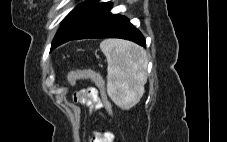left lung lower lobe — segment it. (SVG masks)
<instances>
[{
    "mask_svg": "<svg viewBox=\"0 0 227 142\" xmlns=\"http://www.w3.org/2000/svg\"><path fill=\"white\" fill-rule=\"evenodd\" d=\"M111 8L112 3H109L95 18L69 40L86 38H122L145 47V39L140 31L136 29L126 17L111 14Z\"/></svg>",
    "mask_w": 227,
    "mask_h": 142,
    "instance_id": "obj_1",
    "label": "left lung lower lobe"
}]
</instances>
